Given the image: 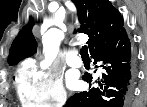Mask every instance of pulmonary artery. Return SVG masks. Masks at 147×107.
Returning <instances> with one entry per match:
<instances>
[{
	"mask_svg": "<svg viewBox=\"0 0 147 107\" xmlns=\"http://www.w3.org/2000/svg\"><path fill=\"white\" fill-rule=\"evenodd\" d=\"M67 64L71 67H81L82 61L75 52H70L67 55Z\"/></svg>",
	"mask_w": 147,
	"mask_h": 107,
	"instance_id": "1",
	"label": "pulmonary artery"
}]
</instances>
